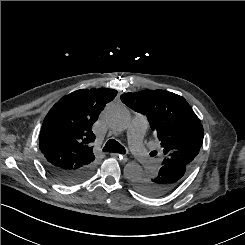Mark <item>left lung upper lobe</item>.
Wrapping results in <instances>:
<instances>
[{
  "label": "left lung upper lobe",
  "instance_id": "1",
  "mask_svg": "<svg viewBox=\"0 0 245 245\" xmlns=\"http://www.w3.org/2000/svg\"><path fill=\"white\" fill-rule=\"evenodd\" d=\"M120 98L128 107L147 116L151 129L161 142L162 165H193L203 142L204 130L182 96L157 89L125 93Z\"/></svg>",
  "mask_w": 245,
  "mask_h": 245
}]
</instances>
